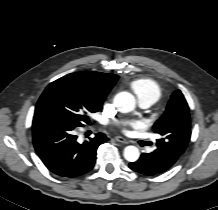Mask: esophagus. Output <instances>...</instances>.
Returning a JSON list of instances; mask_svg holds the SVG:
<instances>
[{"label":"esophagus","instance_id":"34e87169","mask_svg":"<svg viewBox=\"0 0 218 210\" xmlns=\"http://www.w3.org/2000/svg\"><path fill=\"white\" fill-rule=\"evenodd\" d=\"M115 140H116L117 142L123 143V144H128V143H129L128 140L125 139V138L122 137V136H116V137H115Z\"/></svg>","mask_w":218,"mask_h":210}]
</instances>
